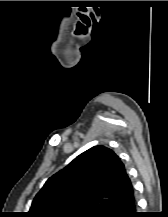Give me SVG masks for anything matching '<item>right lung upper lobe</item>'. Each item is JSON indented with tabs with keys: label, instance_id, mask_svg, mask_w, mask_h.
<instances>
[{
	"label": "right lung upper lobe",
	"instance_id": "right-lung-upper-lobe-1",
	"mask_svg": "<svg viewBox=\"0 0 168 217\" xmlns=\"http://www.w3.org/2000/svg\"><path fill=\"white\" fill-rule=\"evenodd\" d=\"M134 195L119 157L95 146L49 178L32 202L27 217H100Z\"/></svg>",
	"mask_w": 168,
	"mask_h": 217
}]
</instances>
